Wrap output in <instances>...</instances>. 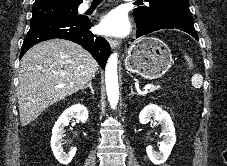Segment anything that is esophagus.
Listing matches in <instances>:
<instances>
[{
	"label": "esophagus",
	"mask_w": 227,
	"mask_h": 166,
	"mask_svg": "<svg viewBox=\"0 0 227 166\" xmlns=\"http://www.w3.org/2000/svg\"><path fill=\"white\" fill-rule=\"evenodd\" d=\"M109 44L111 48H117L120 45V42L116 39H109Z\"/></svg>",
	"instance_id": "1"
}]
</instances>
